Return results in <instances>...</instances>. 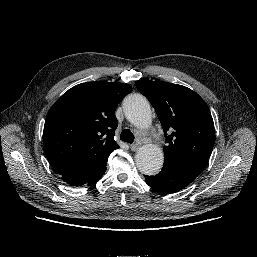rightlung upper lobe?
<instances>
[{
    "instance_id": "obj_1",
    "label": "right lung upper lobe",
    "mask_w": 257,
    "mask_h": 257,
    "mask_svg": "<svg viewBox=\"0 0 257 257\" xmlns=\"http://www.w3.org/2000/svg\"><path fill=\"white\" fill-rule=\"evenodd\" d=\"M130 84L86 82L65 92L50 108L44 125L43 149L54 172L72 186L101 174L114 140L118 103Z\"/></svg>"
}]
</instances>
